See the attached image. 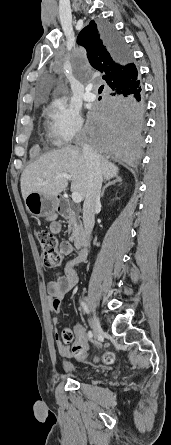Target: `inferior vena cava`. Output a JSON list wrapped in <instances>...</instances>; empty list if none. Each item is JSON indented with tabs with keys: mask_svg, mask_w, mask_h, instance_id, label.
<instances>
[{
	"mask_svg": "<svg viewBox=\"0 0 171 445\" xmlns=\"http://www.w3.org/2000/svg\"><path fill=\"white\" fill-rule=\"evenodd\" d=\"M82 152L88 170V189L83 205V223L85 233L90 237L95 223V210L100 207L103 177L98 154L88 144L83 145Z\"/></svg>",
	"mask_w": 171,
	"mask_h": 445,
	"instance_id": "1",
	"label": "inferior vena cava"
}]
</instances>
